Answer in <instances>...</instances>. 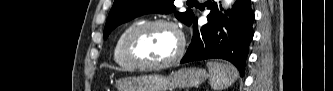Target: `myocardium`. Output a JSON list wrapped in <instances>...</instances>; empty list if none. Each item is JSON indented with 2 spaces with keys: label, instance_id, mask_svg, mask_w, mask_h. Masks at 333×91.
<instances>
[{
  "label": "myocardium",
  "instance_id": "myocardium-1",
  "mask_svg": "<svg viewBox=\"0 0 333 91\" xmlns=\"http://www.w3.org/2000/svg\"><path fill=\"white\" fill-rule=\"evenodd\" d=\"M154 27H169L172 30H174V32L178 35L179 38L178 50L176 51L174 56L169 60L163 62H148L143 58H141L136 53L135 44L139 35H141L146 30ZM185 47H186L185 37L180 28L177 26L175 22L166 19H155L150 21H143L136 24L129 31L124 42V52L127 59L135 66L142 69H163L176 64L182 58L185 52Z\"/></svg>",
  "mask_w": 333,
  "mask_h": 91
}]
</instances>
